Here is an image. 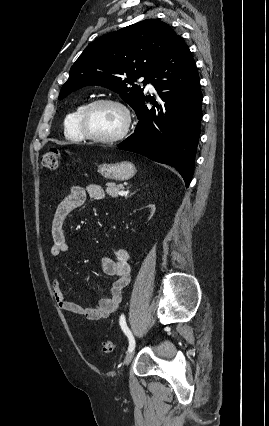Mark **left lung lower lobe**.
<instances>
[{
    "label": "left lung lower lobe",
    "mask_w": 269,
    "mask_h": 426,
    "mask_svg": "<svg viewBox=\"0 0 269 426\" xmlns=\"http://www.w3.org/2000/svg\"><path fill=\"white\" fill-rule=\"evenodd\" d=\"M148 82L160 100L148 109L145 98L134 109L139 119L135 132L118 147L173 166L188 187L200 137L202 93L196 63L180 36L154 67Z\"/></svg>",
    "instance_id": "left-lung-lower-lobe-1"
}]
</instances>
